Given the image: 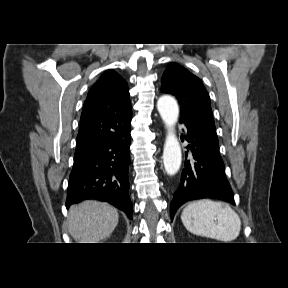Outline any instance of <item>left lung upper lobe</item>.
I'll return each instance as SVG.
<instances>
[{
	"label": "left lung upper lobe",
	"instance_id": "left-lung-upper-lobe-1",
	"mask_svg": "<svg viewBox=\"0 0 288 288\" xmlns=\"http://www.w3.org/2000/svg\"><path fill=\"white\" fill-rule=\"evenodd\" d=\"M161 91L175 95L180 103V119L190 121L217 138L209 94L202 81L183 66L170 63L162 76Z\"/></svg>",
	"mask_w": 288,
	"mask_h": 288
}]
</instances>
